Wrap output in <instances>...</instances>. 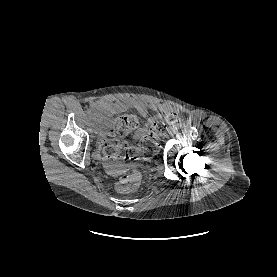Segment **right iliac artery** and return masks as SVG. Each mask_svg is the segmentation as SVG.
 I'll list each match as a JSON object with an SVG mask.
<instances>
[{"label":"right iliac artery","mask_w":277,"mask_h":277,"mask_svg":"<svg viewBox=\"0 0 277 277\" xmlns=\"http://www.w3.org/2000/svg\"><path fill=\"white\" fill-rule=\"evenodd\" d=\"M89 119L92 121L93 126H97V121L95 120V118L92 115H89Z\"/></svg>","instance_id":"1"}]
</instances>
